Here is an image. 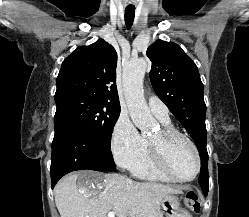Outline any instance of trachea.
Instances as JSON below:
<instances>
[{
	"label": "trachea",
	"mask_w": 249,
	"mask_h": 217,
	"mask_svg": "<svg viewBox=\"0 0 249 217\" xmlns=\"http://www.w3.org/2000/svg\"><path fill=\"white\" fill-rule=\"evenodd\" d=\"M135 16V7L128 6L125 8V22L128 29L131 28Z\"/></svg>",
	"instance_id": "1"
}]
</instances>
